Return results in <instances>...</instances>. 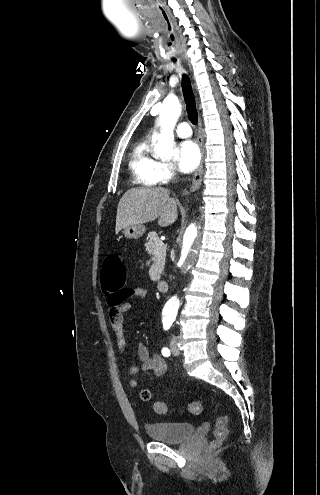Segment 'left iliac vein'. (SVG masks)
Segmentation results:
<instances>
[{
    "label": "left iliac vein",
    "instance_id": "obj_1",
    "mask_svg": "<svg viewBox=\"0 0 320 495\" xmlns=\"http://www.w3.org/2000/svg\"><path fill=\"white\" fill-rule=\"evenodd\" d=\"M170 349H171V352L175 355V356H179L180 354V350L177 346V340L175 337H173L170 341Z\"/></svg>",
    "mask_w": 320,
    "mask_h": 495
}]
</instances>
